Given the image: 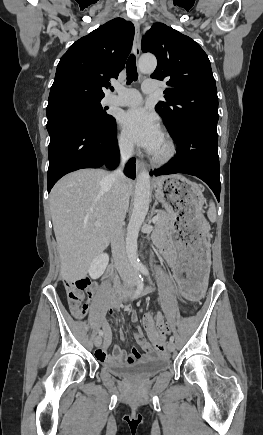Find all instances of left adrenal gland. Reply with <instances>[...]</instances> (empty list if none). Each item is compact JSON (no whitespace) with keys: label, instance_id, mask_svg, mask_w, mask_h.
<instances>
[{"label":"left adrenal gland","instance_id":"obj_1","mask_svg":"<svg viewBox=\"0 0 263 435\" xmlns=\"http://www.w3.org/2000/svg\"><path fill=\"white\" fill-rule=\"evenodd\" d=\"M155 211V206H153V208H152V212H151V215H153V212Z\"/></svg>","mask_w":263,"mask_h":435}]
</instances>
